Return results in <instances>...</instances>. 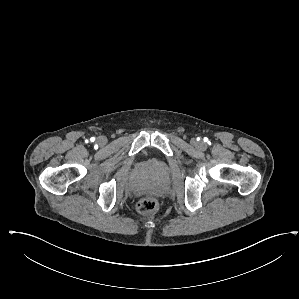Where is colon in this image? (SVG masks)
I'll return each mask as SVG.
<instances>
[{
    "label": "colon",
    "instance_id": "5ec220e1",
    "mask_svg": "<svg viewBox=\"0 0 299 299\" xmlns=\"http://www.w3.org/2000/svg\"><path fill=\"white\" fill-rule=\"evenodd\" d=\"M158 209V201L153 197H145L137 204V210L140 214L149 215Z\"/></svg>",
    "mask_w": 299,
    "mask_h": 299
}]
</instances>
